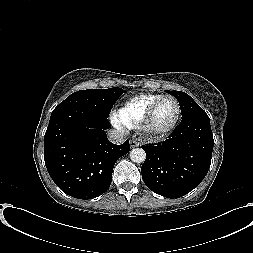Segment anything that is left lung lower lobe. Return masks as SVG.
<instances>
[{
    "label": "left lung lower lobe",
    "instance_id": "obj_1",
    "mask_svg": "<svg viewBox=\"0 0 253 253\" xmlns=\"http://www.w3.org/2000/svg\"><path fill=\"white\" fill-rule=\"evenodd\" d=\"M213 144L206 113L183 118L167 140L142 146L146 152L141 167L144 183L153 192L168 198L184 196L206 176Z\"/></svg>",
    "mask_w": 253,
    "mask_h": 253
}]
</instances>
